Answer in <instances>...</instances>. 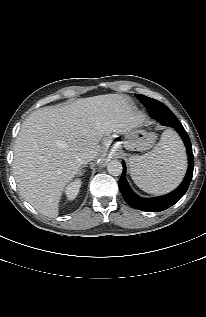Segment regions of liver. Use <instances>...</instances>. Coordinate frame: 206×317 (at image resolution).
Instances as JSON below:
<instances>
[{
	"mask_svg": "<svg viewBox=\"0 0 206 317\" xmlns=\"http://www.w3.org/2000/svg\"><path fill=\"white\" fill-rule=\"evenodd\" d=\"M144 118L120 94L34 111L21 125L14 146L13 174L20 195L42 215L56 217L62 192L80 169L78 155H98L104 136L126 134Z\"/></svg>",
	"mask_w": 206,
	"mask_h": 317,
	"instance_id": "1",
	"label": "liver"
}]
</instances>
